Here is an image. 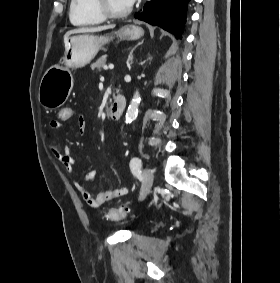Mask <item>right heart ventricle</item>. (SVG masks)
Here are the masks:
<instances>
[{"label": "right heart ventricle", "instance_id": "e07e8e85", "mask_svg": "<svg viewBox=\"0 0 280 283\" xmlns=\"http://www.w3.org/2000/svg\"><path fill=\"white\" fill-rule=\"evenodd\" d=\"M69 18L75 26H89L102 23L104 17L96 10L93 0H71Z\"/></svg>", "mask_w": 280, "mask_h": 283}]
</instances>
